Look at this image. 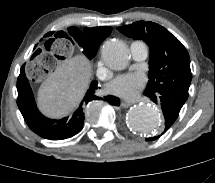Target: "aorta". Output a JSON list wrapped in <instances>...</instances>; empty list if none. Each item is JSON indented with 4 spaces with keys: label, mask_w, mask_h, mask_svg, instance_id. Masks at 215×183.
I'll return each instance as SVG.
<instances>
[{
    "label": "aorta",
    "mask_w": 215,
    "mask_h": 183,
    "mask_svg": "<svg viewBox=\"0 0 215 183\" xmlns=\"http://www.w3.org/2000/svg\"><path fill=\"white\" fill-rule=\"evenodd\" d=\"M104 63L112 70H123L129 63L127 46L118 39H111L104 43L101 50ZM162 118L160 113L147 104L133 107L127 114L126 124L136 133L153 134L160 129Z\"/></svg>",
    "instance_id": "aorta-1"
}]
</instances>
